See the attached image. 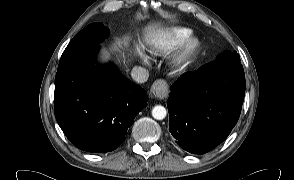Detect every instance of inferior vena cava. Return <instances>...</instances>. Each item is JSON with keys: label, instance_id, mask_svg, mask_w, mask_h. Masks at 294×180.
Segmentation results:
<instances>
[{"label": "inferior vena cava", "instance_id": "602c4592", "mask_svg": "<svg viewBox=\"0 0 294 180\" xmlns=\"http://www.w3.org/2000/svg\"><path fill=\"white\" fill-rule=\"evenodd\" d=\"M131 77L138 83H144L148 80L149 72L143 67L135 66L131 71Z\"/></svg>", "mask_w": 294, "mask_h": 180}]
</instances>
